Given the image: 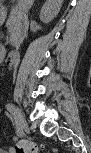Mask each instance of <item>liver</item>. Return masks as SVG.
Returning a JSON list of instances; mask_svg holds the SVG:
<instances>
[{
	"label": "liver",
	"instance_id": "liver-1",
	"mask_svg": "<svg viewBox=\"0 0 91 153\" xmlns=\"http://www.w3.org/2000/svg\"><path fill=\"white\" fill-rule=\"evenodd\" d=\"M51 1V0H50ZM34 0H21L20 5L23 6L25 9L30 7L33 4ZM51 3L61 7L62 1L61 0H52Z\"/></svg>",
	"mask_w": 91,
	"mask_h": 153
}]
</instances>
